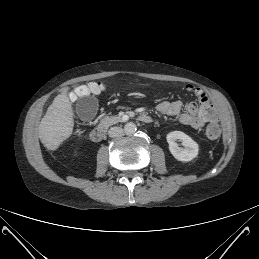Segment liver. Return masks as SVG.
<instances>
[{"instance_id":"1","label":"liver","mask_w":259,"mask_h":259,"mask_svg":"<svg viewBox=\"0 0 259 259\" xmlns=\"http://www.w3.org/2000/svg\"><path fill=\"white\" fill-rule=\"evenodd\" d=\"M74 127V111L67 92L57 95L39 125V138L47 150H56Z\"/></svg>"}]
</instances>
